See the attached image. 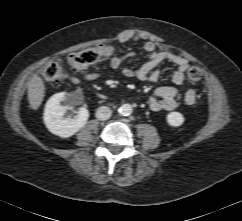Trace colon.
<instances>
[{"label": "colon", "mask_w": 242, "mask_h": 221, "mask_svg": "<svg viewBox=\"0 0 242 221\" xmlns=\"http://www.w3.org/2000/svg\"><path fill=\"white\" fill-rule=\"evenodd\" d=\"M114 53V47L110 44H102L95 48L85 49L71 53L68 56V62L75 71H80L92 64L107 59ZM66 77V71L60 60L49 63L42 71V79L46 84H52L63 80ZM187 78L190 83L198 84L203 78L202 70L191 65L187 69Z\"/></svg>", "instance_id": "5ec220e1"}]
</instances>
